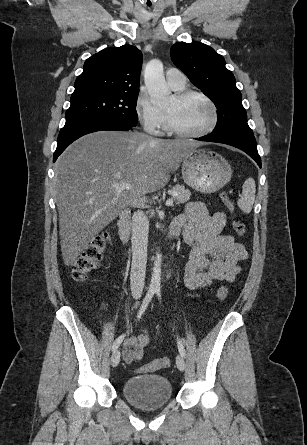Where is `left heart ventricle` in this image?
<instances>
[{"mask_svg":"<svg viewBox=\"0 0 307 445\" xmlns=\"http://www.w3.org/2000/svg\"><path fill=\"white\" fill-rule=\"evenodd\" d=\"M162 110L169 116L174 126L185 132H199L207 128L212 121L211 108L196 97L179 100L172 95Z\"/></svg>","mask_w":307,"mask_h":445,"instance_id":"1","label":"left heart ventricle"}]
</instances>
